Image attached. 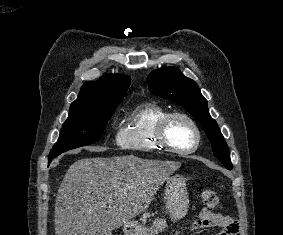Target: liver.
Returning <instances> with one entry per match:
<instances>
[{"instance_id":"obj_1","label":"liver","mask_w":283,"mask_h":235,"mask_svg":"<svg viewBox=\"0 0 283 235\" xmlns=\"http://www.w3.org/2000/svg\"><path fill=\"white\" fill-rule=\"evenodd\" d=\"M180 167V162L134 155L74 162L58 189L55 235H112L144 212Z\"/></svg>"}]
</instances>
